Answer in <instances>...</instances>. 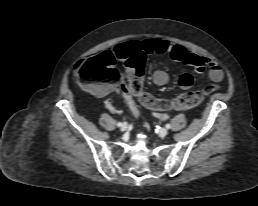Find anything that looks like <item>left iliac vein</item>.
<instances>
[{"label":"left iliac vein","instance_id":"1","mask_svg":"<svg viewBox=\"0 0 258 206\" xmlns=\"http://www.w3.org/2000/svg\"><path fill=\"white\" fill-rule=\"evenodd\" d=\"M159 132H160V135L163 137L168 134V130L166 128H161Z\"/></svg>","mask_w":258,"mask_h":206}]
</instances>
